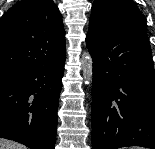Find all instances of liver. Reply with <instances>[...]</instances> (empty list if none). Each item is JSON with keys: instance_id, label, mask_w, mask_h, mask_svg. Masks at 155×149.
I'll return each mask as SVG.
<instances>
[{"instance_id": "6515ba94", "label": "liver", "mask_w": 155, "mask_h": 149, "mask_svg": "<svg viewBox=\"0 0 155 149\" xmlns=\"http://www.w3.org/2000/svg\"><path fill=\"white\" fill-rule=\"evenodd\" d=\"M0 149H26V147L19 143L0 138Z\"/></svg>"}]
</instances>
